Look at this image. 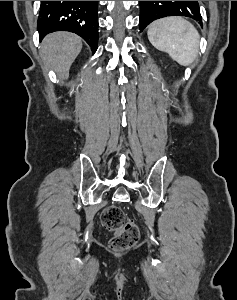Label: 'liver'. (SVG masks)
Wrapping results in <instances>:
<instances>
[{
	"label": "liver",
	"instance_id": "6515ba94",
	"mask_svg": "<svg viewBox=\"0 0 237 300\" xmlns=\"http://www.w3.org/2000/svg\"><path fill=\"white\" fill-rule=\"evenodd\" d=\"M82 49V39L74 33H50L40 47L41 59L47 69H53L59 79H68L69 69Z\"/></svg>",
	"mask_w": 237,
	"mask_h": 300
}]
</instances>
